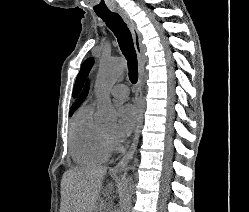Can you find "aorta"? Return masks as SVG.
Segmentation results:
<instances>
[{"label":"aorta","instance_id":"1","mask_svg":"<svg viewBox=\"0 0 249 212\" xmlns=\"http://www.w3.org/2000/svg\"><path fill=\"white\" fill-rule=\"evenodd\" d=\"M125 67L126 63L122 58L108 59L100 63L95 83V91L99 99L98 116L104 121L114 120L117 116V112L109 97V89L121 76ZM132 189L133 179L131 176H128L124 180L120 191L118 212H130Z\"/></svg>","mask_w":249,"mask_h":212}]
</instances>
